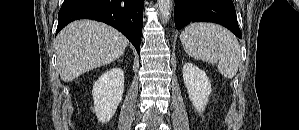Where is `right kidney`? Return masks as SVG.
Masks as SVG:
<instances>
[{
  "label": "right kidney",
  "instance_id": "ca27d5eb",
  "mask_svg": "<svg viewBox=\"0 0 299 130\" xmlns=\"http://www.w3.org/2000/svg\"><path fill=\"white\" fill-rule=\"evenodd\" d=\"M124 92V71L112 68L102 74L94 83L92 96L94 111L99 121L105 123L112 119Z\"/></svg>",
  "mask_w": 299,
  "mask_h": 130
}]
</instances>
